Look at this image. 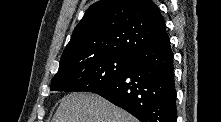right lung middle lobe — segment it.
Masks as SVG:
<instances>
[{
	"label": "right lung middle lobe",
	"mask_w": 221,
	"mask_h": 122,
	"mask_svg": "<svg viewBox=\"0 0 221 122\" xmlns=\"http://www.w3.org/2000/svg\"><path fill=\"white\" fill-rule=\"evenodd\" d=\"M131 60L128 56L108 55L70 66L54 76L51 91L92 92L121 76Z\"/></svg>",
	"instance_id": "1"
}]
</instances>
